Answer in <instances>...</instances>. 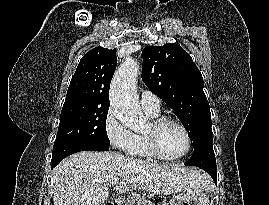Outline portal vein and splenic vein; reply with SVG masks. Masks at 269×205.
<instances>
[{
  "instance_id": "obj_1",
  "label": "portal vein and splenic vein",
  "mask_w": 269,
  "mask_h": 205,
  "mask_svg": "<svg viewBox=\"0 0 269 205\" xmlns=\"http://www.w3.org/2000/svg\"><path fill=\"white\" fill-rule=\"evenodd\" d=\"M118 181H119V178H113V179H110V180L108 181V184H110V185H115V184L118 183Z\"/></svg>"
}]
</instances>
